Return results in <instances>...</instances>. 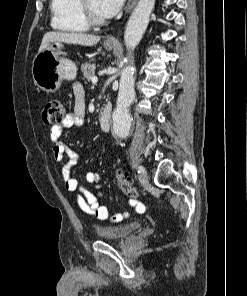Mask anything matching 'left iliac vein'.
<instances>
[{
	"label": "left iliac vein",
	"mask_w": 247,
	"mask_h": 296,
	"mask_svg": "<svg viewBox=\"0 0 247 296\" xmlns=\"http://www.w3.org/2000/svg\"><path fill=\"white\" fill-rule=\"evenodd\" d=\"M139 181L142 185H147L148 184V177H147V173L144 169V171L142 173H140L139 175Z\"/></svg>",
	"instance_id": "obj_1"
}]
</instances>
